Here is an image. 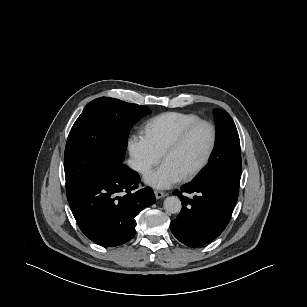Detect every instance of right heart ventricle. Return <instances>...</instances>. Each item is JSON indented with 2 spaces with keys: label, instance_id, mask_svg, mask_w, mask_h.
<instances>
[{
  "label": "right heart ventricle",
  "instance_id": "1",
  "mask_svg": "<svg viewBox=\"0 0 307 307\" xmlns=\"http://www.w3.org/2000/svg\"><path fill=\"white\" fill-rule=\"evenodd\" d=\"M200 119L198 115L192 113H163L147 122L145 136L154 149L162 155L184 127Z\"/></svg>",
  "mask_w": 307,
  "mask_h": 307
}]
</instances>
